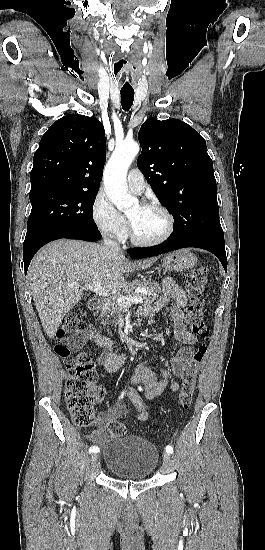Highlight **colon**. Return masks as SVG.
Instances as JSON below:
<instances>
[{
  "instance_id": "5ec220e1",
  "label": "colon",
  "mask_w": 265,
  "mask_h": 550,
  "mask_svg": "<svg viewBox=\"0 0 265 550\" xmlns=\"http://www.w3.org/2000/svg\"><path fill=\"white\" fill-rule=\"evenodd\" d=\"M207 281L208 269L203 265L198 266L185 277L189 296L187 321L192 332L202 342L194 350L182 376V387L178 400L183 409H188L193 402L197 375L207 353V343L210 340V329L204 321L201 300ZM85 329L86 322L80 317L79 312L71 310L57 330L56 337L61 339L69 334L82 333ZM55 352L63 359L64 366L69 373L65 385V396L66 406L73 423L77 427H89L94 423V404L103 397V391L96 384L98 376L94 361L85 352L73 355L71 349L64 344H57ZM108 430L112 436H123L127 432L125 425L119 421H111L108 424Z\"/></svg>"
}]
</instances>
